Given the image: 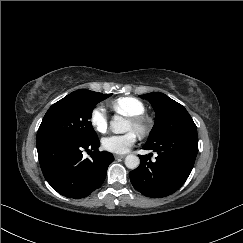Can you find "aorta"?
<instances>
[{"instance_id":"obj_1","label":"aorta","mask_w":243,"mask_h":243,"mask_svg":"<svg viewBox=\"0 0 243 243\" xmlns=\"http://www.w3.org/2000/svg\"><path fill=\"white\" fill-rule=\"evenodd\" d=\"M110 129L115 134H123L129 130L127 121L118 115H115L110 121ZM140 164V159L138 156L130 154L125 158V165L129 169H136Z\"/></svg>"}]
</instances>
